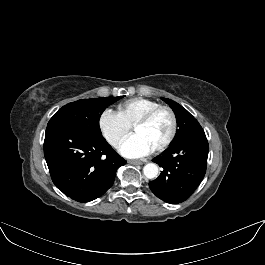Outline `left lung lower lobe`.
<instances>
[{
    "label": "left lung lower lobe",
    "instance_id": "1",
    "mask_svg": "<svg viewBox=\"0 0 265 265\" xmlns=\"http://www.w3.org/2000/svg\"><path fill=\"white\" fill-rule=\"evenodd\" d=\"M209 145L204 132L172 143L153 159L162 171L149 182L151 191L161 200L178 204L187 200L196 190L207 168Z\"/></svg>",
    "mask_w": 265,
    "mask_h": 265
}]
</instances>
